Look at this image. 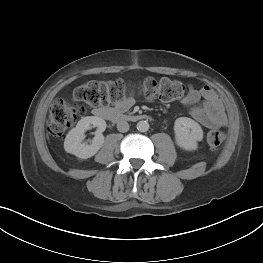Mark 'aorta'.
I'll return each instance as SVG.
<instances>
[{"mask_svg": "<svg viewBox=\"0 0 263 263\" xmlns=\"http://www.w3.org/2000/svg\"><path fill=\"white\" fill-rule=\"evenodd\" d=\"M149 123L147 121H139L137 123V129L140 131V132H146L148 131L149 129Z\"/></svg>", "mask_w": 263, "mask_h": 263, "instance_id": "1", "label": "aorta"}]
</instances>
